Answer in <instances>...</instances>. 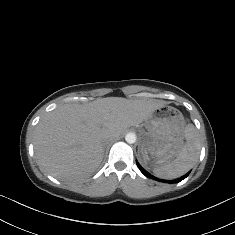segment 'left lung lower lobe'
Returning a JSON list of instances; mask_svg holds the SVG:
<instances>
[{"mask_svg":"<svg viewBox=\"0 0 235 235\" xmlns=\"http://www.w3.org/2000/svg\"><path fill=\"white\" fill-rule=\"evenodd\" d=\"M137 166L138 168L140 169V171L148 178H154L150 173H148L138 162H137ZM190 174V172H188L187 174H185L184 176L176 179V180H169V181H166V180H160L158 179V181H161V182H168V183H174V182H180L182 181L183 179H185L188 175Z\"/></svg>","mask_w":235,"mask_h":235,"instance_id":"1","label":"left lung lower lobe"}]
</instances>
